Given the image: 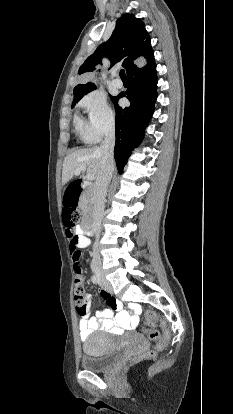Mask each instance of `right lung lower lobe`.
<instances>
[{"label":"right lung lower lobe","instance_id":"1","mask_svg":"<svg viewBox=\"0 0 233 414\" xmlns=\"http://www.w3.org/2000/svg\"><path fill=\"white\" fill-rule=\"evenodd\" d=\"M129 80L128 90L113 98L116 111L114 157L119 173H122L133 148L141 142L144 129L154 112L157 99L156 65L147 72L130 77ZM121 97L128 98L131 105L120 107L118 100Z\"/></svg>","mask_w":233,"mask_h":414}]
</instances>
